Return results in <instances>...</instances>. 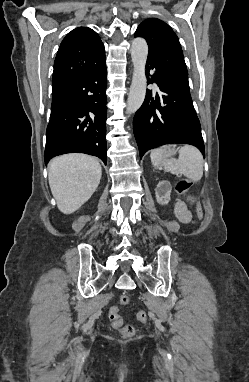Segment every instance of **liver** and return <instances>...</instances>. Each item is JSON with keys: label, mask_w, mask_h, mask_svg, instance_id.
Returning a JSON list of instances; mask_svg holds the SVG:
<instances>
[{"label": "liver", "mask_w": 249, "mask_h": 382, "mask_svg": "<svg viewBox=\"0 0 249 382\" xmlns=\"http://www.w3.org/2000/svg\"><path fill=\"white\" fill-rule=\"evenodd\" d=\"M101 175L99 161L89 155L72 153L52 159L48 179L58 209L67 215L77 211L93 195Z\"/></svg>", "instance_id": "obj_1"}]
</instances>
